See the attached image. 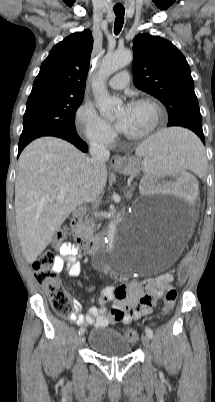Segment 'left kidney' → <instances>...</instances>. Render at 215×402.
<instances>
[{
	"label": "left kidney",
	"instance_id": "left-kidney-1",
	"mask_svg": "<svg viewBox=\"0 0 215 402\" xmlns=\"http://www.w3.org/2000/svg\"><path fill=\"white\" fill-rule=\"evenodd\" d=\"M141 183L146 193H179L181 200H193L199 191L193 174L184 172H148V178H143Z\"/></svg>",
	"mask_w": 215,
	"mask_h": 402
}]
</instances>
